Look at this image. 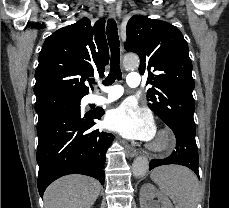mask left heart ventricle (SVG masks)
I'll use <instances>...</instances> for the list:
<instances>
[{"instance_id": "left-heart-ventricle-1", "label": "left heart ventricle", "mask_w": 229, "mask_h": 208, "mask_svg": "<svg viewBox=\"0 0 229 208\" xmlns=\"http://www.w3.org/2000/svg\"><path fill=\"white\" fill-rule=\"evenodd\" d=\"M152 141L159 144V142H164V138L155 136Z\"/></svg>"}]
</instances>
